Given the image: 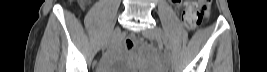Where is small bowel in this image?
<instances>
[{
	"label": "small bowel",
	"instance_id": "1",
	"mask_svg": "<svg viewBox=\"0 0 267 72\" xmlns=\"http://www.w3.org/2000/svg\"><path fill=\"white\" fill-rule=\"evenodd\" d=\"M176 11L183 9V21L189 28H194L199 23L197 17L190 13L191 9L194 7V4L190 1H174ZM125 44L128 50L133 47V38L128 37L125 39Z\"/></svg>",
	"mask_w": 267,
	"mask_h": 72
}]
</instances>
